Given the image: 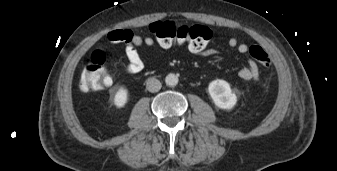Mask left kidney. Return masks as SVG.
Here are the masks:
<instances>
[{"label": "left kidney", "instance_id": "left-kidney-1", "mask_svg": "<svg viewBox=\"0 0 337 171\" xmlns=\"http://www.w3.org/2000/svg\"><path fill=\"white\" fill-rule=\"evenodd\" d=\"M208 92L214 104L221 109H231L237 103V96L225 80L217 79L210 82Z\"/></svg>", "mask_w": 337, "mask_h": 171}]
</instances>
